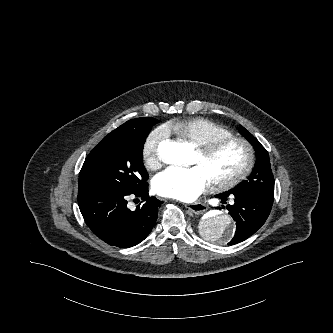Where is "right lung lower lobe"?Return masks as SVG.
I'll return each instance as SVG.
<instances>
[{"label":"right lung lower lobe","instance_id":"right-lung-lower-lobe-1","mask_svg":"<svg viewBox=\"0 0 333 333\" xmlns=\"http://www.w3.org/2000/svg\"><path fill=\"white\" fill-rule=\"evenodd\" d=\"M131 194L145 201L135 211L127 207ZM161 203L149 197L147 183L133 191L94 189L78 193L81 214L91 231L109 245L120 248L135 246L148 236Z\"/></svg>","mask_w":333,"mask_h":333}]
</instances>
